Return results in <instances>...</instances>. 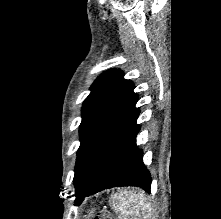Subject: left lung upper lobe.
Segmentation results:
<instances>
[{"mask_svg":"<svg viewBox=\"0 0 221 219\" xmlns=\"http://www.w3.org/2000/svg\"><path fill=\"white\" fill-rule=\"evenodd\" d=\"M133 89L134 84L125 80L123 73L117 69L104 72L93 83L91 93L82 107L79 130L81 144L75 166V184L98 143L137 102V94Z\"/></svg>","mask_w":221,"mask_h":219,"instance_id":"obj_1","label":"left lung upper lobe"}]
</instances>
